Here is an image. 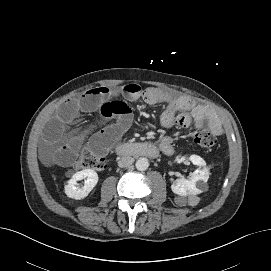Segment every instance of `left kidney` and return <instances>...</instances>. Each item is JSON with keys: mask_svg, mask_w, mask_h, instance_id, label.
<instances>
[{"mask_svg": "<svg viewBox=\"0 0 271 271\" xmlns=\"http://www.w3.org/2000/svg\"><path fill=\"white\" fill-rule=\"evenodd\" d=\"M189 160L197 165L199 168L191 173L189 179H177L171 185L173 193L179 196H187L191 194H198L201 190L198 188L200 182L206 184L209 178V168L206 167V162L198 155H191ZM178 162H182V159L178 158Z\"/></svg>", "mask_w": 271, "mask_h": 271, "instance_id": "obj_1", "label": "left kidney"}]
</instances>
